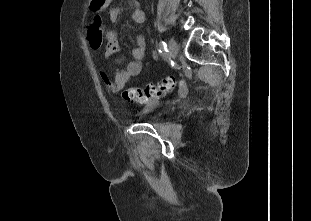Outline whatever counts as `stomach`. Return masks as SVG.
Returning <instances> with one entry per match:
<instances>
[{"instance_id": "obj_1", "label": "stomach", "mask_w": 311, "mask_h": 221, "mask_svg": "<svg viewBox=\"0 0 311 221\" xmlns=\"http://www.w3.org/2000/svg\"><path fill=\"white\" fill-rule=\"evenodd\" d=\"M108 4H109V0H96L97 10H103V8H106Z\"/></svg>"}]
</instances>
